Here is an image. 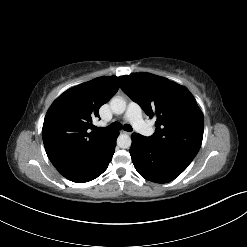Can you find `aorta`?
Instances as JSON below:
<instances>
[{
  "mask_svg": "<svg viewBox=\"0 0 247 247\" xmlns=\"http://www.w3.org/2000/svg\"><path fill=\"white\" fill-rule=\"evenodd\" d=\"M110 108L115 114H122L126 110V102L120 96H115L110 101ZM131 137L128 134H121L117 138V145L122 149L130 148L131 146Z\"/></svg>",
  "mask_w": 247,
  "mask_h": 247,
  "instance_id": "762f6f07",
  "label": "aorta"
}]
</instances>
